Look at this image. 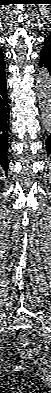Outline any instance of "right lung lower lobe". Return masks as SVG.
Returning <instances> with one entry per match:
<instances>
[{
  "mask_svg": "<svg viewBox=\"0 0 51 393\" xmlns=\"http://www.w3.org/2000/svg\"><path fill=\"white\" fill-rule=\"evenodd\" d=\"M5 69L0 72V166L5 173L8 170V132H9V101L5 80Z\"/></svg>",
  "mask_w": 51,
  "mask_h": 393,
  "instance_id": "98d812e1",
  "label": "right lung lower lobe"
}]
</instances>
